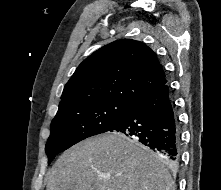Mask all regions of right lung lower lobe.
<instances>
[{"label":"right lung lower lobe","mask_w":221,"mask_h":190,"mask_svg":"<svg viewBox=\"0 0 221 190\" xmlns=\"http://www.w3.org/2000/svg\"><path fill=\"white\" fill-rule=\"evenodd\" d=\"M110 131L141 142L171 166L180 159L179 121L167 83L133 103Z\"/></svg>","instance_id":"obj_1"}]
</instances>
